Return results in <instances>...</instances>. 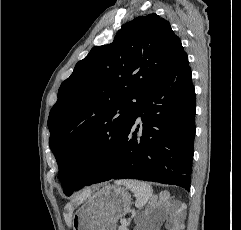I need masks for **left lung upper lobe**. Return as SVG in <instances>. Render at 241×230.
Returning <instances> with one entry per match:
<instances>
[{
	"instance_id": "1",
	"label": "left lung upper lobe",
	"mask_w": 241,
	"mask_h": 230,
	"mask_svg": "<svg viewBox=\"0 0 241 230\" xmlns=\"http://www.w3.org/2000/svg\"><path fill=\"white\" fill-rule=\"evenodd\" d=\"M185 53L168 21L155 13L125 24L111 44L92 48L62 82L48 128L66 195L76 160L100 139L117 141L137 105Z\"/></svg>"
}]
</instances>
